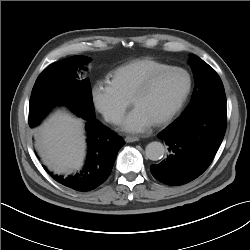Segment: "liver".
<instances>
[{"label": "liver", "instance_id": "6515ba94", "mask_svg": "<svg viewBox=\"0 0 250 250\" xmlns=\"http://www.w3.org/2000/svg\"><path fill=\"white\" fill-rule=\"evenodd\" d=\"M38 148L54 172L66 173L82 166L85 155L83 120L58 111L39 128Z\"/></svg>", "mask_w": 250, "mask_h": 250}]
</instances>
